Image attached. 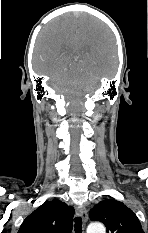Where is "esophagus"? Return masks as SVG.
Instances as JSON below:
<instances>
[{
	"mask_svg": "<svg viewBox=\"0 0 148 233\" xmlns=\"http://www.w3.org/2000/svg\"><path fill=\"white\" fill-rule=\"evenodd\" d=\"M77 212H78V215L81 216V218L84 220V222H86L88 216H87V211L85 207H78Z\"/></svg>",
	"mask_w": 148,
	"mask_h": 233,
	"instance_id": "1",
	"label": "esophagus"
}]
</instances>
